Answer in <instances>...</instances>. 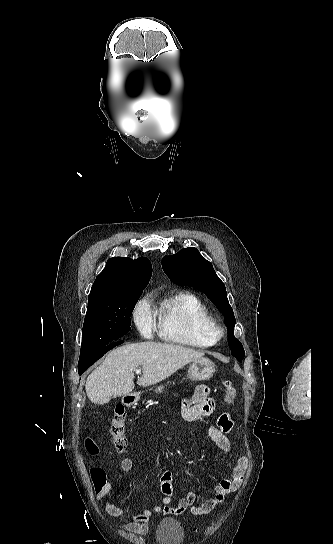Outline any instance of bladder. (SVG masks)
Masks as SVG:
<instances>
[{"mask_svg":"<svg viewBox=\"0 0 333 544\" xmlns=\"http://www.w3.org/2000/svg\"><path fill=\"white\" fill-rule=\"evenodd\" d=\"M155 537L158 544H182L184 531L179 521L166 518L158 524Z\"/></svg>","mask_w":333,"mask_h":544,"instance_id":"1","label":"bladder"}]
</instances>
